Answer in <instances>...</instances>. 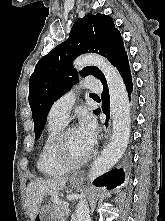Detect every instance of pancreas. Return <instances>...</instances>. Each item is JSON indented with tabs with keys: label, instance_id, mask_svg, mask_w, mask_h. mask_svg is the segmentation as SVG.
<instances>
[{
	"label": "pancreas",
	"instance_id": "obj_1",
	"mask_svg": "<svg viewBox=\"0 0 165 221\" xmlns=\"http://www.w3.org/2000/svg\"><path fill=\"white\" fill-rule=\"evenodd\" d=\"M63 203V201H59L53 205L54 214L58 218V221H64L66 216L69 214L68 207L64 206Z\"/></svg>",
	"mask_w": 165,
	"mask_h": 221
}]
</instances>
